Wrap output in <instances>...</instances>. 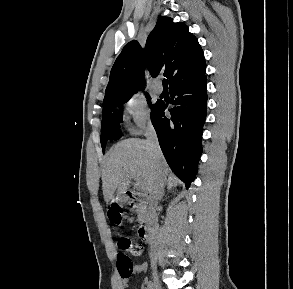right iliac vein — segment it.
<instances>
[{
  "label": "right iliac vein",
  "instance_id": "63e3f726",
  "mask_svg": "<svg viewBox=\"0 0 293 289\" xmlns=\"http://www.w3.org/2000/svg\"><path fill=\"white\" fill-rule=\"evenodd\" d=\"M153 289H162L161 288V285L159 283V280H158V275L157 273L154 271L153 272Z\"/></svg>",
  "mask_w": 293,
  "mask_h": 289
}]
</instances>
